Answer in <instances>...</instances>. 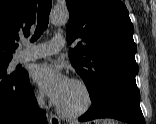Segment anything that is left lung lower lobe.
<instances>
[{"label": "left lung lower lobe", "mask_w": 156, "mask_h": 124, "mask_svg": "<svg viewBox=\"0 0 156 124\" xmlns=\"http://www.w3.org/2000/svg\"><path fill=\"white\" fill-rule=\"evenodd\" d=\"M140 97L123 92H110L92 101L90 109L79 121L114 118L129 124H145L139 104Z\"/></svg>", "instance_id": "left-lung-lower-lobe-1"}]
</instances>
